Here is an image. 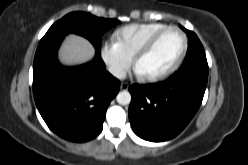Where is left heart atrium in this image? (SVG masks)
<instances>
[{
  "label": "left heart atrium",
  "instance_id": "obj_1",
  "mask_svg": "<svg viewBox=\"0 0 248 165\" xmlns=\"http://www.w3.org/2000/svg\"><path fill=\"white\" fill-rule=\"evenodd\" d=\"M136 73H137L139 76H144L143 73H142L138 68H136Z\"/></svg>",
  "mask_w": 248,
  "mask_h": 165
}]
</instances>
